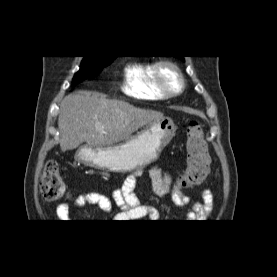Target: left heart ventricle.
I'll return each mask as SVG.
<instances>
[{
	"label": "left heart ventricle",
	"instance_id": "left-heart-ventricle-1",
	"mask_svg": "<svg viewBox=\"0 0 277 277\" xmlns=\"http://www.w3.org/2000/svg\"><path fill=\"white\" fill-rule=\"evenodd\" d=\"M162 76L166 86L170 90H177L179 88V80L176 74L170 68L164 67L162 69Z\"/></svg>",
	"mask_w": 277,
	"mask_h": 277
}]
</instances>
